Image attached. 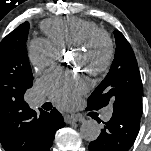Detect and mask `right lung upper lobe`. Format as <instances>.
<instances>
[{
    "label": "right lung upper lobe",
    "mask_w": 151,
    "mask_h": 151,
    "mask_svg": "<svg viewBox=\"0 0 151 151\" xmlns=\"http://www.w3.org/2000/svg\"><path fill=\"white\" fill-rule=\"evenodd\" d=\"M43 110L36 113L24 97L0 96V142L6 151H40L45 134Z\"/></svg>",
    "instance_id": "1"
}]
</instances>
